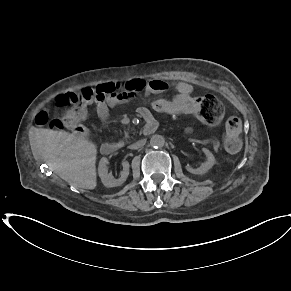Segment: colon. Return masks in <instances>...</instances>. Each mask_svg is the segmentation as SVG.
Here are the masks:
<instances>
[{
  "instance_id": "5ec220e1",
  "label": "colon",
  "mask_w": 291,
  "mask_h": 291,
  "mask_svg": "<svg viewBox=\"0 0 291 291\" xmlns=\"http://www.w3.org/2000/svg\"><path fill=\"white\" fill-rule=\"evenodd\" d=\"M121 86L112 82L99 83L95 88L87 87L78 92H63L57 95L51 102V108L62 111L60 117H50L49 109L41 110L35 117V123L39 126H47L50 129H70L77 137H84L87 130L82 123L86 109L89 105L102 101L115 95ZM150 106L159 112L175 115L189 116L197 114L199 119L207 125H216L223 115L221 103L214 96L201 98H153L148 101ZM241 121L236 117H230L226 121L225 146L230 152H235L240 146L239 135Z\"/></svg>"
}]
</instances>
